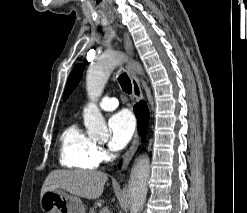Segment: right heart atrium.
Here are the masks:
<instances>
[{"mask_svg": "<svg viewBox=\"0 0 247 213\" xmlns=\"http://www.w3.org/2000/svg\"><path fill=\"white\" fill-rule=\"evenodd\" d=\"M95 154L99 163L104 162L109 158L108 153L101 146H96Z\"/></svg>", "mask_w": 247, "mask_h": 213, "instance_id": "d8ad5b80", "label": "right heart atrium"}]
</instances>
